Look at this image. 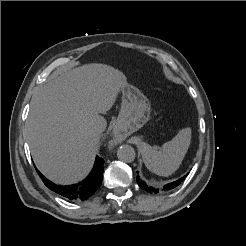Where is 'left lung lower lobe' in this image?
Returning a JSON list of instances; mask_svg holds the SVG:
<instances>
[{"instance_id": "1", "label": "left lung lower lobe", "mask_w": 246, "mask_h": 246, "mask_svg": "<svg viewBox=\"0 0 246 246\" xmlns=\"http://www.w3.org/2000/svg\"><path fill=\"white\" fill-rule=\"evenodd\" d=\"M187 175H185L184 177L180 178L179 180H176L172 183H169V184H166L164 187H163V190H171L173 188H175L176 186H178L182 181L185 180V177ZM137 183L138 185L145 191L149 192V193H158L160 190L158 188H153V187H149L144 181H142L139 176H137Z\"/></svg>"}]
</instances>
